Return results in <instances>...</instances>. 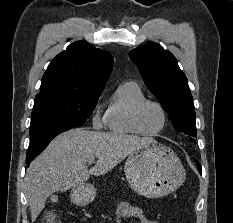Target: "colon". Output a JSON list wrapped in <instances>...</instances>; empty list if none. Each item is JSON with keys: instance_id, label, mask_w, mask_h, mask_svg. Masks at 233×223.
<instances>
[{"instance_id": "obj_1", "label": "colon", "mask_w": 233, "mask_h": 223, "mask_svg": "<svg viewBox=\"0 0 233 223\" xmlns=\"http://www.w3.org/2000/svg\"><path fill=\"white\" fill-rule=\"evenodd\" d=\"M43 223H60V220L54 211H49L44 213Z\"/></svg>"}]
</instances>
